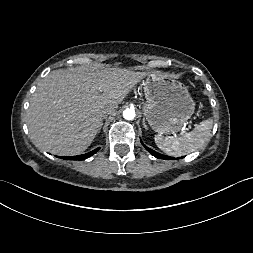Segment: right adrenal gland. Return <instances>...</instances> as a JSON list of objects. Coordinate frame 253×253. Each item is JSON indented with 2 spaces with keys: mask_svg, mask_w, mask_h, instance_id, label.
I'll use <instances>...</instances> for the list:
<instances>
[{
  "mask_svg": "<svg viewBox=\"0 0 253 253\" xmlns=\"http://www.w3.org/2000/svg\"><path fill=\"white\" fill-rule=\"evenodd\" d=\"M106 118H107L106 116L103 117L102 122H101L100 127H99V130L101 129V127L103 125V120L106 119Z\"/></svg>",
  "mask_w": 253,
  "mask_h": 253,
  "instance_id": "right-adrenal-gland-1",
  "label": "right adrenal gland"
}]
</instances>
